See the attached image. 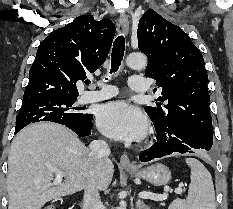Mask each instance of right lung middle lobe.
Masks as SVG:
<instances>
[{"instance_id":"1","label":"right lung middle lobe","mask_w":233,"mask_h":209,"mask_svg":"<svg viewBox=\"0 0 233 209\" xmlns=\"http://www.w3.org/2000/svg\"><path fill=\"white\" fill-rule=\"evenodd\" d=\"M77 98H48L22 103L16 120V127H25L30 123L51 121L62 125L84 122L89 114L73 107Z\"/></svg>"}]
</instances>
